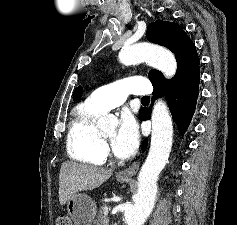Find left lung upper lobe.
<instances>
[{
	"mask_svg": "<svg viewBox=\"0 0 237 225\" xmlns=\"http://www.w3.org/2000/svg\"><path fill=\"white\" fill-rule=\"evenodd\" d=\"M146 35L150 42L169 48L175 54L177 61V72L171 80H166L158 70H150L148 76L154 88L200 75V60L196 47L178 24L157 20L148 25Z\"/></svg>",
	"mask_w": 237,
	"mask_h": 225,
	"instance_id": "left-lung-upper-lobe-1",
	"label": "left lung upper lobe"
}]
</instances>
